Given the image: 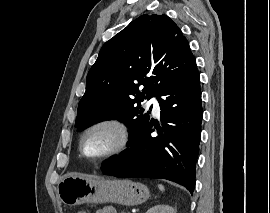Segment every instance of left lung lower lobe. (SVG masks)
Here are the masks:
<instances>
[{"mask_svg": "<svg viewBox=\"0 0 270 213\" xmlns=\"http://www.w3.org/2000/svg\"><path fill=\"white\" fill-rule=\"evenodd\" d=\"M157 99L162 127L149 121L129 139L125 152L103 163L102 172L116 177L163 178L193 193L203 117L196 63L168 84ZM153 125L157 137H151Z\"/></svg>", "mask_w": 270, "mask_h": 213, "instance_id": "left-lung-lower-lobe-1", "label": "left lung lower lobe"}]
</instances>
